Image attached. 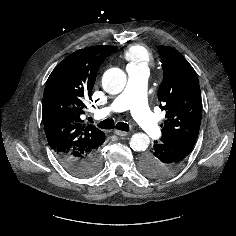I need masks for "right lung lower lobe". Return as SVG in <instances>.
Masks as SVG:
<instances>
[{"label":"right lung lower lobe","mask_w":236,"mask_h":236,"mask_svg":"<svg viewBox=\"0 0 236 236\" xmlns=\"http://www.w3.org/2000/svg\"><path fill=\"white\" fill-rule=\"evenodd\" d=\"M60 161L69 172L80 177L93 176L102 166V157L99 148L94 150L89 157L84 160L64 158L60 159Z\"/></svg>","instance_id":"1"}]
</instances>
